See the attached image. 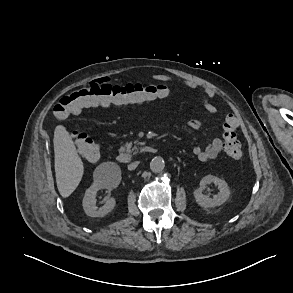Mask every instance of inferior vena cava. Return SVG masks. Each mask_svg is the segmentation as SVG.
<instances>
[{"label": "inferior vena cava", "mask_w": 293, "mask_h": 293, "mask_svg": "<svg viewBox=\"0 0 293 293\" xmlns=\"http://www.w3.org/2000/svg\"><path fill=\"white\" fill-rule=\"evenodd\" d=\"M139 162L138 161H135V162H132L128 165V170H134L136 169V167L138 166Z\"/></svg>", "instance_id": "602c4592"}]
</instances>
